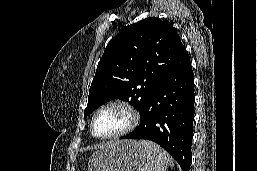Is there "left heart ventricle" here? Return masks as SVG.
Returning <instances> with one entry per match:
<instances>
[{"label": "left heart ventricle", "mask_w": 257, "mask_h": 171, "mask_svg": "<svg viewBox=\"0 0 257 171\" xmlns=\"http://www.w3.org/2000/svg\"><path fill=\"white\" fill-rule=\"evenodd\" d=\"M128 113L121 108H108L95 118L94 131L99 136H107L122 130L129 123Z\"/></svg>", "instance_id": "b2bd125f"}]
</instances>
